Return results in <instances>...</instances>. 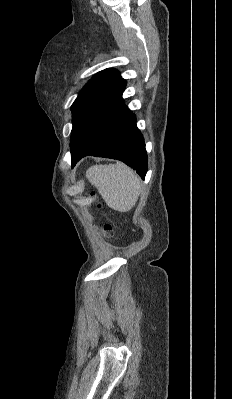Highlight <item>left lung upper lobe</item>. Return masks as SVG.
<instances>
[{
	"instance_id": "1",
	"label": "left lung upper lobe",
	"mask_w": 232,
	"mask_h": 399,
	"mask_svg": "<svg viewBox=\"0 0 232 399\" xmlns=\"http://www.w3.org/2000/svg\"><path fill=\"white\" fill-rule=\"evenodd\" d=\"M126 81L114 69L103 70L83 87L71 106V161L93 150L116 130L131 112L122 93Z\"/></svg>"
}]
</instances>
